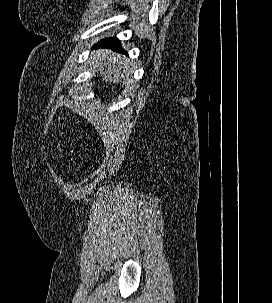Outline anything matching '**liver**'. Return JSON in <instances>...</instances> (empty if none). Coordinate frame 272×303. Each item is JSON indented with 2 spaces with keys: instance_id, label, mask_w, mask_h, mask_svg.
<instances>
[{
  "instance_id": "1",
  "label": "liver",
  "mask_w": 272,
  "mask_h": 303,
  "mask_svg": "<svg viewBox=\"0 0 272 303\" xmlns=\"http://www.w3.org/2000/svg\"><path fill=\"white\" fill-rule=\"evenodd\" d=\"M97 55L103 80L110 82L115 80L119 82L123 74L128 73L129 60L124 57L122 58L120 54L113 53L109 50H99Z\"/></svg>"
}]
</instances>
